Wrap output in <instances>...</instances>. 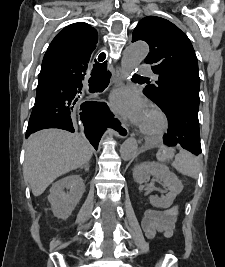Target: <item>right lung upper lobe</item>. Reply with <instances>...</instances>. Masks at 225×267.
<instances>
[{
	"mask_svg": "<svg viewBox=\"0 0 225 267\" xmlns=\"http://www.w3.org/2000/svg\"><path fill=\"white\" fill-rule=\"evenodd\" d=\"M97 44V32L95 28L84 22L73 23L60 31L51 42L48 50H74L86 52L90 55ZM96 61V59L94 60ZM98 66H105V63H98Z\"/></svg>",
	"mask_w": 225,
	"mask_h": 267,
	"instance_id": "1",
	"label": "right lung upper lobe"
}]
</instances>
